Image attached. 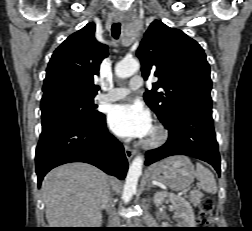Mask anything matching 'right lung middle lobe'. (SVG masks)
<instances>
[{"mask_svg":"<svg viewBox=\"0 0 252 231\" xmlns=\"http://www.w3.org/2000/svg\"><path fill=\"white\" fill-rule=\"evenodd\" d=\"M93 98L68 93L42 99V128L65 120L95 122L103 114L95 110Z\"/></svg>","mask_w":252,"mask_h":231,"instance_id":"obj_1","label":"right lung middle lobe"}]
</instances>
